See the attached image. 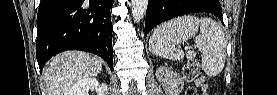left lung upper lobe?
Instances as JSON below:
<instances>
[{"label":"left lung upper lobe","instance_id":"1","mask_svg":"<svg viewBox=\"0 0 277 95\" xmlns=\"http://www.w3.org/2000/svg\"><path fill=\"white\" fill-rule=\"evenodd\" d=\"M209 4H219V1L218 0H209Z\"/></svg>","mask_w":277,"mask_h":95}]
</instances>
